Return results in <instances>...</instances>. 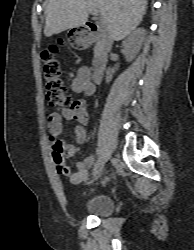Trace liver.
<instances>
[{"mask_svg": "<svg viewBox=\"0 0 194 250\" xmlns=\"http://www.w3.org/2000/svg\"><path fill=\"white\" fill-rule=\"evenodd\" d=\"M147 0H47L44 34L50 37L84 26L89 13L97 10L106 21L109 37L119 41L142 21Z\"/></svg>", "mask_w": 194, "mask_h": 250, "instance_id": "liver-1", "label": "liver"}]
</instances>
